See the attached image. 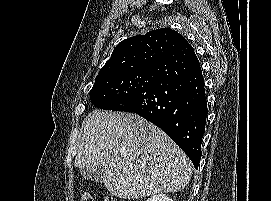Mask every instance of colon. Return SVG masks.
I'll list each match as a JSON object with an SVG mask.
<instances>
[{
	"label": "colon",
	"instance_id": "colon-1",
	"mask_svg": "<svg viewBox=\"0 0 271 201\" xmlns=\"http://www.w3.org/2000/svg\"><path fill=\"white\" fill-rule=\"evenodd\" d=\"M80 201H93V198L88 193H83L80 197ZM104 201H118V200L114 197L108 196L104 199Z\"/></svg>",
	"mask_w": 271,
	"mask_h": 201
}]
</instances>
